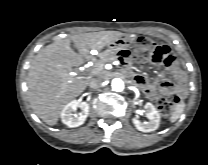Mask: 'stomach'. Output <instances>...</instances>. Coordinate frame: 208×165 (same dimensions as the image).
<instances>
[{"instance_id": "0dacf381", "label": "stomach", "mask_w": 208, "mask_h": 165, "mask_svg": "<svg viewBox=\"0 0 208 165\" xmlns=\"http://www.w3.org/2000/svg\"><path fill=\"white\" fill-rule=\"evenodd\" d=\"M134 42V38L128 36V35H123L119 37L118 39L110 42L107 45V50H110L114 53H118L122 50H125L129 48Z\"/></svg>"}]
</instances>
